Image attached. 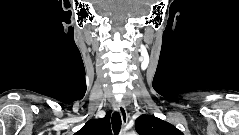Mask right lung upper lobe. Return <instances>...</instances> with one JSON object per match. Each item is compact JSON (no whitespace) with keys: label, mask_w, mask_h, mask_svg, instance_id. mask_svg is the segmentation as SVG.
Here are the masks:
<instances>
[{"label":"right lung upper lobe","mask_w":239,"mask_h":135,"mask_svg":"<svg viewBox=\"0 0 239 135\" xmlns=\"http://www.w3.org/2000/svg\"><path fill=\"white\" fill-rule=\"evenodd\" d=\"M75 135H112L110 111L104 118L90 119Z\"/></svg>","instance_id":"1"}]
</instances>
